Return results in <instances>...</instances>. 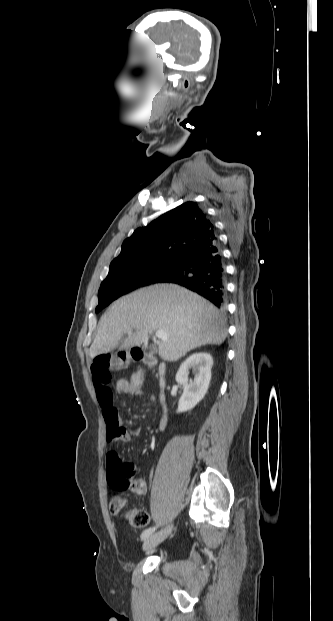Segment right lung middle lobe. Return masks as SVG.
<instances>
[{
	"instance_id": "1",
	"label": "right lung middle lobe",
	"mask_w": 333,
	"mask_h": 621,
	"mask_svg": "<svg viewBox=\"0 0 333 621\" xmlns=\"http://www.w3.org/2000/svg\"><path fill=\"white\" fill-rule=\"evenodd\" d=\"M183 258L159 257L126 263L110 264L109 273L98 292L96 313L118 297L139 287L159 283L173 275Z\"/></svg>"
}]
</instances>
